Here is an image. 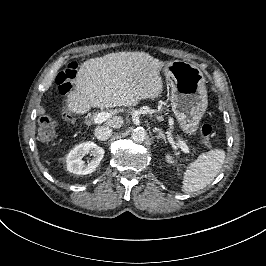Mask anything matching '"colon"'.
Here are the masks:
<instances>
[{
  "instance_id": "1",
  "label": "colon",
  "mask_w": 266,
  "mask_h": 266,
  "mask_svg": "<svg viewBox=\"0 0 266 266\" xmlns=\"http://www.w3.org/2000/svg\"><path fill=\"white\" fill-rule=\"evenodd\" d=\"M77 63L70 62L59 74L57 84L62 94L69 93L73 88V80L76 76ZM56 120L49 115H42L38 120V136L43 141L51 140L55 135ZM200 140L204 145H209L212 134V127L207 123H202L198 128Z\"/></svg>"
}]
</instances>
